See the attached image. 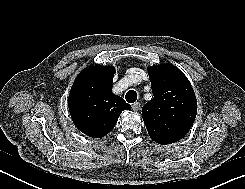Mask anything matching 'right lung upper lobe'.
Returning a JSON list of instances; mask_svg holds the SVG:
<instances>
[{"mask_svg": "<svg viewBox=\"0 0 245 189\" xmlns=\"http://www.w3.org/2000/svg\"><path fill=\"white\" fill-rule=\"evenodd\" d=\"M115 68L93 65L76 77L69 94V112L76 127L84 134L101 138L116 125L123 110L131 106L112 93Z\"/></svg>", "mask_w": 245, "mask_h": 189, "instance_id": "obj_1", "label": "right lung upper lobe"}]
</instances>
